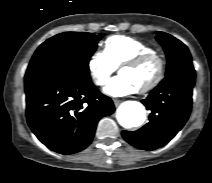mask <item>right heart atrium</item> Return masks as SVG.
<instances>
[{
	"mask_svg": "<svg viewBox=\"0 0 212 183\" xmlns=\"http://www.w3.org/2000/svg\"><path fill=\"white\" fill-rule=\"evenodd\" d=\"M116 69L104 51L95 52L88 61L89 75L97 86H105Z\"/></svg>",
	"mask_w": 212,
	"mask_h": 183,
	"instance_id": "d8ad5b80",
	"label": "right heart atrium"
}]
</instances>
